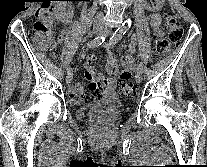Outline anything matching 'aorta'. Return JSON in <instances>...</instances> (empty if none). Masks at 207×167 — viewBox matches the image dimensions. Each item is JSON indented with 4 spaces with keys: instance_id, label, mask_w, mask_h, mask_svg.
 Listing matches in <instances>:
<instances>
[{
    "instance_id": "1",
    "label": "aorta",
    "mask_w": 207,
    "mask_h": 167,
    "mask_svg": "<svg viewBox=\"0 0 207 167\" xmlns=\"http://www.w3.org/2000/svg\"><path fill=\"white\" fill-rule=\"evenodd\" d=\"M130 21L128 20V21H126L123 25H122V27L119 29V32H124V31H126L128 28H129V26H130Z\"/></svg>"
}]
</instances>
